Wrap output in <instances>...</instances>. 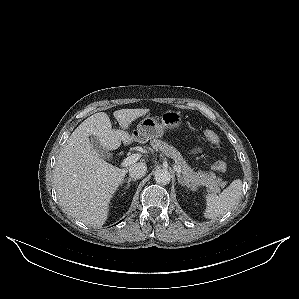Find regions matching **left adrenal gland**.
Wrapping results in <instances>:
<instances>
[{"mask_svg":"<svg viewBox=\"0 0 299 299\" xmlns=\"http://www.w3.org/2000/svg\"><path fill=\"white\" fill-rule=\"evenodd\" d=\"M176 175H177V179H178L179 184L184 185V180H183V178L181 177V175L178 174V173H177Z\"/></svg>","mask_w":299,"mask_h":299,"instance_id":"left-adrenal-gland-1","label":"left adrenal gland"}]
</instances>
